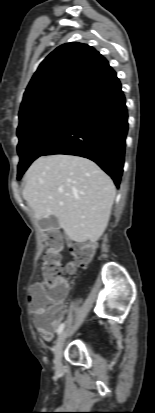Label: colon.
<instances>
[{"label": "colon", "instance_id": "colon-1", "mask_svg": "<svg viewBox=\"0 0 155 413\" xmlns=\"http://www.w3.org/2000/svg\"><path fill=\"white\" fill-rule=\"evenodd\" d=\"M48 250L44 254L42 263L43 282L46 286L45 292H39L35 297L34 309L41 314L42 320L46 321L47 312L54 311L56 305L65 296L68 290V283L62 276V266L60 263L61 250L63 248L62 236L51 230L46 238ZM76 261L69 266L70 271L77 267H85L93 254L91 244H79L73 248Z\"/></svg>", "mask_w": 155, "mask_h": 413}]
</instances>
